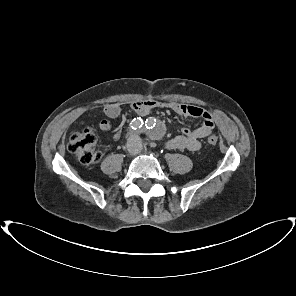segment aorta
<instances>
[{
    "mask_svg": "<svg viewBox=\"0 0 296 296\" xmlns=\"http://www.w3.org/2000/svg\"><path fill=\"white\" fill-rule=\"evenodd\" d=\"M156 123L153 121V120H151V121H149L148 122V132H149V135L151 136V137H156L155 135H154V130H155V128H156Z\"/></svg>",
    "mask_w": 296,
    "mask_h": 296,
    "instance_id": "1",
    "label": "aorta"
}]
</instances>
